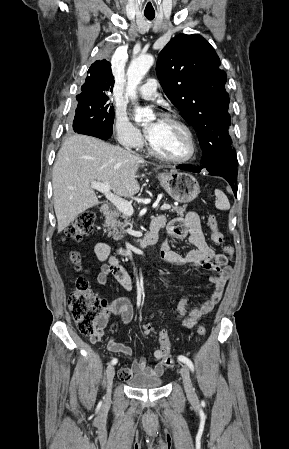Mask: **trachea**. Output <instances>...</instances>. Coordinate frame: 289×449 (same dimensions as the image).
<instances>
[{
	"mask_svg": "<svg viewBox=\"0 0 289 449\" xmlns=\"http://www.w3.org/2000/svg\"><path fill=\"white\" fill-rule=\"evenodd\" d=\"M144 15L148 20H153L155 17V13H145Z\"/></svg>",
	"mask_w": 289,
	"mask_h": 449,
	"instance_id": "obj_1",
	"label": "trachea"
}]
</instances>
